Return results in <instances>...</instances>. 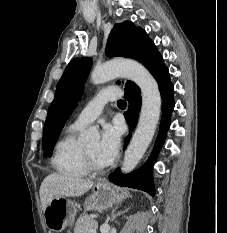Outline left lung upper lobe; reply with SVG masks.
<instances>
[{
    "label": "left lung upper lobe",
    "mask_w": 227,
    "mask_h": 233,
    "mask_svg": "<svg viewBox=\"0 0 227 233\" xmlns=\"http://www.w3.org/2000/svg\"><path fill=\"white\" fill-rule=\"evenodd\" d=\"M109 57H129L141 62L153 75L166 67L162 56L145 30L130 21L115 24L106 46ZM92 65L91 58H76L69 62L56 87L43 131L42 148L46 156L51 157L53 147L61 129L72 114L83 94V86ZM138 88L132 81L125 84V92Z\"/></svg>",
    "instance_id": "left-lung-upper-lobe-1"
}]
</instances>
